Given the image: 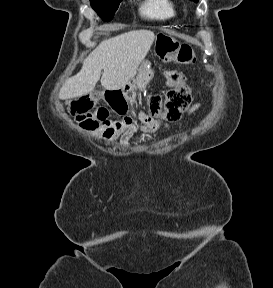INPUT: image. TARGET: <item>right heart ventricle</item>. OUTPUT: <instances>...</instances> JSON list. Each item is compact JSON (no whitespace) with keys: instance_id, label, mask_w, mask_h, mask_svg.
Masks as SVG:
<instances>
[{"instance_id":"1","label":"right heart ventricle","mask_w":273,"mask_h":288,"mask_svg":"<svg viewBox=\"0 0 273 288\" xmlns=\"http://www.w3.org/2000/svg\"><path fill=\"white\" fill-rule=\"evenodd\" d=\"M141 13L148 19L167 20L175 16L176 7L172 0H145Z\"/></svg>"}]
</instances>
